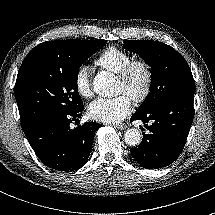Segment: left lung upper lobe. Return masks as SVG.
<instances>
[{
  "label": "left lung upper lobe",
  "instance_id": "5c2ea615",
  "mask_svg": "<svg viewBox=\"0 0 215 215\" xmlns=\"http://www.w3.org/2000/svg\"><path fill=\"white\" fill-rule=\"evenodd\" d=\"M123 43L126 50L137 53L151 66L150 92L135 114L147 113L171 99L194 95L195 82L191 70L174 48L153 40H124Z\"/></svg>",
  "mask_w": 215,
  "mask_h": 215
}]
</instances>
